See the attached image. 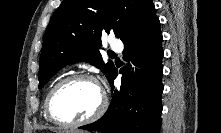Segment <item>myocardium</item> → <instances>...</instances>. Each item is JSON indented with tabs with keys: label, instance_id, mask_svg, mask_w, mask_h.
<instances>
[{
	"label": "myocardium",
	"instance_id": "obj_1",
	"mask_svg": "<svg viewBox=\"0 0 221 133\" xmlns=\"http://www.w3.org/2000/svg\"><path fill=\"white\" fill-rule=\"evenodd\" d=\"M76 80H87V81L94 83L100 91V102H99L97 108L95 109V111L91 115H89L88 117H86L82 120L70 121V122L60 121L53 116L52 111H51L52 96L54 95L56 90L58 88H60L62 85L66 84L68 82H71V81H76ZM106 108H107V96H106L103 88L101 87L99 81L94 76L87 74V73L71 74V75L66 76V77L62 78L61 80H59L57 83H55L51 87V89L49 90V92L46 95L45 102H44V112H45L47 119L51 123H53L57 126H60V127H65V128L80 127V126H84L89 123H92V122L96 121L97 119H99L104 114V112L106 111Z\"/></svg>",
	"mask_w": 221,
	"mask_h": 133
}]
</instances>
